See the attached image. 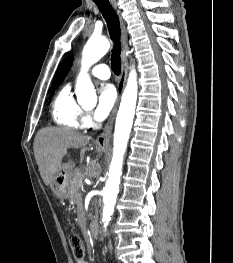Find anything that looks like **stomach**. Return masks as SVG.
I'll return each instance as SVG.
<instances>
[{"instance_id": "0dacf381", "label": "stomach", "mask_w": 233, "mask_h": 263, "mask_svg": "<svg viewBox=\"0 0 233 263\" xmlns=\"http://www.w3.org/2000/svg\"><path fill=\"white\" fill-rule=\"evenodd\" d=\"M98 152H104V147H97ZM72 173V166L70 164L62 165L59 172L56 174L52 184L51 190L53 194L59 198H67L70 192V175Z\"/></svg>"}]
</instances>
